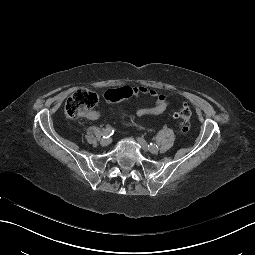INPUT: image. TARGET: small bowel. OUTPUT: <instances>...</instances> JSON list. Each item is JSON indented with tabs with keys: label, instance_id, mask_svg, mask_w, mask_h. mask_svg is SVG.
Wrapping results in <instances>:
<instances>
[{
	"label": "small bowel",
	"instance_id": "obj_1",
	"mask_svg": "<svg viewBox=\"0 0 255 255\" xmlns=\"http://www.w3.org/2000/svg\"><path fill=\"white\" fill-rule=\"evenodd\" d=\"M134 93L136 95H145L155 100L152 106H142L136 110V115L138 117H143L146 115H160L162 114L170 104V99L168 95L161 93L155 89H148L145 87L134 88ZM102 115L99 111H90L83 115L82 117L88 120H97Z\"/></svg>",
	"mask_w": 255,
	"mask_h": 255
}]
</instances>
